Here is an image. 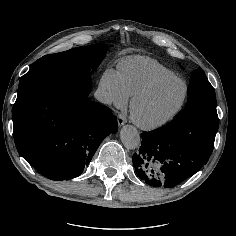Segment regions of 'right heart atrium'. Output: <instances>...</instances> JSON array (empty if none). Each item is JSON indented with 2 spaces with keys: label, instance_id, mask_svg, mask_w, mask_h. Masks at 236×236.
<instances>
[{
  "label": "right heart atrium",
  "instance_id": "right-heart-atrium-1",
  "mask_svg": "<svg viewBox=\"0 0 236 236\" xmlns=\"http://www.w3.org/2000/svg\"><path fill=\"white\" fill-rule=\"evenodd\" d=\"M99 92L100 99L105 105L118 109L126 107L130 97L119 72L110 67L106 68L101 75Z\"/></svg>",
  "mask_w": 236,
  "mask_h": 236
}]
</instances>
